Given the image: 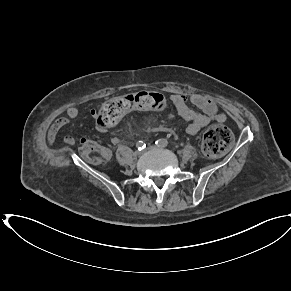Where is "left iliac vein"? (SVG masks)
<instances>
[{"label":"left iliac vein","instance_id":"4c4485c4","mask_svg":"<svg viewBox=\"0 0 291 291\" xmlns=\"http://www.w3.org/2000/svg\"><path fill=\"white\" fill-rule=\"evenodd\" d=\"M156 148H157V146H150L147 148V150L156 149Z\"/></svg>","mask_w":291,"mask_h":291}]
</instances>
